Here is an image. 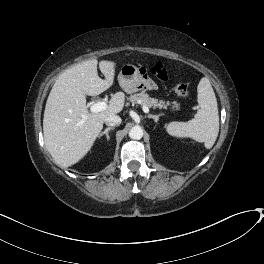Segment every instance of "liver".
Masks as SVG:
<instances>
[{
  "mask_svg": "<svg viewBox=\"0 0 264 264\" xmlns=\"http://www.w3.org/2000/svg\"><path fill=\"white\" fill-rule=\"evenodd\" d=\"M97 64L98 61L92 59L65 70L48 96L43 118L44 142L55 162L62 167L79 162L93 146L105 119L124 107L125 95L117 92L104 111L89 112L86 95L97 96L114 82L116 63L99 62L105 79L98 76ZM84 116L86 119L81 124Z\"/></svg>",
  "mask_w": 264,
  "mask_h": 264,
  "instance_id": "6515ba94",
  "label": "liver"
}]
</instances>
